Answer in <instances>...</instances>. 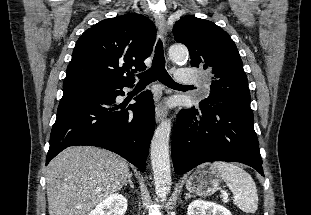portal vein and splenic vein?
Segmentation results:
<instances>
[{"mask_svg":"<svg viewBox=\"0 0 311 215\" xmlns=\"http://www.w3.org/2000/svg\"><path fill=\"white\" fill-rule=\"evenodd\" d=\"M222 194H223V200H224V201H227L228 195H227L225 192H223Z\"/></svg>","mask_w":311,"mask_h":215,"instance_id":"portal-vein-and-splenic-vein-1","label":"portal vein and splenic vein"}]
</instances>
